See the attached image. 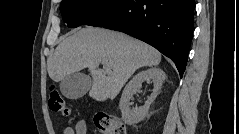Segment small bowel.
<instances>
[{"label": "small bowel", "mask_w": 239, "mask_h": 134, "mask_svg": "<svg viewBox=\"0 0 239 134\" xmlns=\"http://www.w3.org/2000/svg\"><path fill=\"white\" fill-rule=\"evenodd\" d=\"M63 134H87V120L81 118L75 125V128L65 127L62 131Z\"/></svg>", "instance_id": "small-bowel-1"}]
</instances>
